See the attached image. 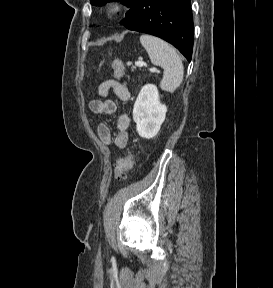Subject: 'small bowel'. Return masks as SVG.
<instances>
[{
  "instance_id": "small-bowel-1",
  "label": "small bowel",
  "mask_w": 273,
  "mask_h": 288,
  "mask_svg": "<svg viewBox=\"0 0 273 288\" xmlns=\"http://www.w3.org/2000/svg\"><path fill=\"white\" fill-rule=\"evenodd\" d=\"M123 102L130 100V91L125 83L116 80H107L99 85L98 92L102 99H94L89 103L90 111L99 116L111 115L116 111V104L109 98L110 92ZM130 118L127 113H122L117 121V135L113 138L107 124H100L97 128L99 139L106 145L114 144L117 148L125 147L128 141V128Z\"/></svg>"
}]
</instances>
